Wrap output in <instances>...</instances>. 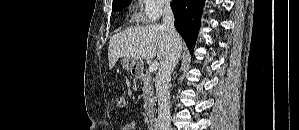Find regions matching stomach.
I'll return each mask as SVG.
<instances>
[{"label":"stomach","instance_id":"obj_1","mask_svg":"<svg viewBox=\"0 0 299 130\" xmlns=\"http://www.w3.org/2000/svg\"><path fill=\"white\" fill-rule=\"evenodd\" d=\"M121 66L127 72L137 75L140 73L143 67V61L139 59H134L131 57H123L121 59Z\"/></svg>","mask_w":299,"mask_h":130}]
</instances>
